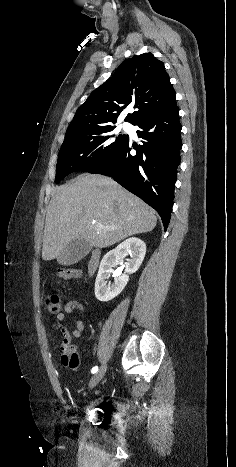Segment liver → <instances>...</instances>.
I'll return each instance as SVG.
<instances>
[{"instance_id": "6515ba94", "label": "liver", "mask_w": 236, "mask_h": 467, "mask_svg": "<svg viewBox=\"0 0 236 467\" xmlns=\"http://www.w3.org/2000/svg\"><path fill=\"white\" fill-rule=\"evenodd\" d=\"M156 223L155 211L113 179L81 174L58 187L50 200L42 258H57L65 245L78 238L91 247H109L129 236L152 231Z\"/></svg>"}]
</instances>
